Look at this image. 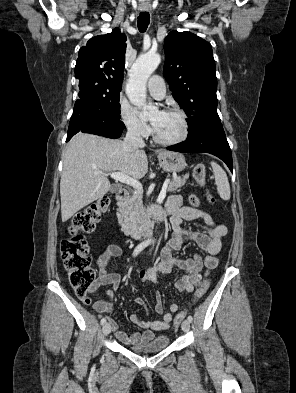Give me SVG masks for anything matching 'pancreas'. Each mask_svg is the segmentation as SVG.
<instances>
[{"label":"pancreas","mask_w":296,"mask_h":393,"mask_svg":"<svg viewBox=\"0 0 296 393\" xmlns=\"http://www.w3.org/2000/svg\"><path fill=\"white\" fill-rule=\"evenodd\" d=\"M188 176L174 177L167 187L169 192H174L182 187ZM144 216V207L142 201V192L134 191L133 195L124 200L121 204L120 213L118 214L119 222L124 231H133L141 223Z\"/></svg>","instance_id":"1"}]
</instances>
